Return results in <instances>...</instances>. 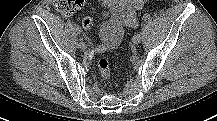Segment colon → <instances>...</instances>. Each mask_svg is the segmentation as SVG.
<instances>
[{"label":"colon","instance_id":"obj_1","mask_svg":"<svg viewBox=\"0 0 217 121\" xmlns=\"http://www.w3.org/2000/svg\"><path fill=\"white\" fill-rule=\"evenodd\" d=\"M85 4V0H53L55 9L64 14H72L80 10ZM92 25V19L87 17L83 21L85 29H89ZM97 68L104 80H109L111 77L110 64L107 58L100 57L97 60Z\"/></svg>","mask_w":217,"mask_h":121}]
</instances>
